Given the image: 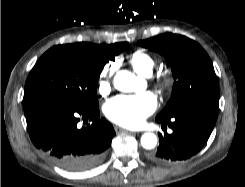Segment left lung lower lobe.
I'll list each match as a JSON object with an SVG mask.
<instances>
[{
  "mask_svg": "<svg viewBox=\"0 0 245 187\" xmlns=\"http://www.w3.org/2000/svg\"><path fill=\"white\" fill-rule=\"evenodd\" d=\"M218 105L206 104L184 110L169 118L156 117L171 134L158 133L160 145L151 155L155 163L171 165L189 159L207 142L217 120Z\"/></svg>",
  "mask_w": 245,
  "mask_h": 187,
  "instance_id": "left-lung-lower-lobe-1",
  "label": "left lung lower lobe"
}]
</instances>
